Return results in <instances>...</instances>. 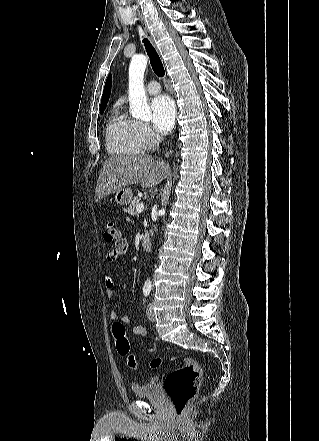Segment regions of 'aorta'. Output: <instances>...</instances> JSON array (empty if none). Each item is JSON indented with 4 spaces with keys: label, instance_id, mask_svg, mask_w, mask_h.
I'll use <instances>...</instances> for the list:
<instances>
[{
    "label": "aorta",
    "instance_id": "obj_1",
    "mask_svg": "<svg viewBox=\"0 0 319 441\" xmlns=\"http://www.w3.org/2000/svg\"><path fill=\"white\" fill-rule=\"evenodd\" d=\"M148 58L145 55L133 56L129 66V103L132 117L143 121L152 119L151 109L147 103V97L144 90V72L147 66ZM165 215V210H161ZM145 287H151V281H145Z\"/></svg>",
    "mask_w": 319,
    "mask_h": 441
}]
</instances>
